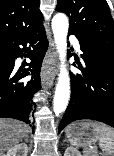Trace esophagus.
I'll use <instances>...</instances> for the list:
<instances>
[{
  "instance_id": "obj_1",
  "label": "esophagus",
  "mask_w": 114,
  "mask_h": 156,
  "mask_svg": "<svg viewBox=\"0 0 114 156\" xmlns=\"http://www.w3.org/2000/svg\"><path fill=\"white\" fill-rule=\"evenodd\" d=\"M57 61V51L54 42H51L49 49L43 60L42 70H41V83L46 89H50L55 80V70L54 65Z\"/></svg>"
}]
</instances>
